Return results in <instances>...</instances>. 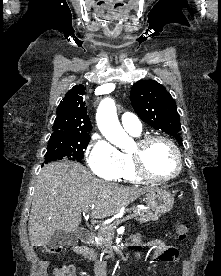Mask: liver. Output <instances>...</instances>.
<instances>
[{
  "label": "liver",
  "instance_id": "1",
  "mask_svg": "<svg viewBox=\"0 0 221 276\" xmlns=\"http://www.w3.org/2000/svg\"><path fill=\"white\" fill-rule=\"evenodd\" d=\"M151 190L100 180L72 161L45 165L37 177L29 216L30 243L46 246L57 229L75 232L81 213L91 205V217L105 219Z\"/></svg>",
  "mask_w": 221,
  "mask_h": 276
}]
</instances>
